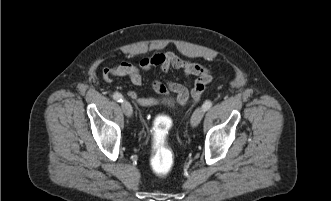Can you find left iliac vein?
Masks as SVG:
<instances>
[{"instance_id":"4c4485c4","label":"left iliac vein","mask_w":331,"mask_h":201,"mask_svg":"<svg viewBox=\"0 0 331 201\" xmlns=\"http://www.w3.org/2000/svg\"><path fill=\"white\" fill-rule=\"evenodd\" d=\"M204 113L205 110L203 109V107H199L194 111L190 121L192 127H196L200 123L204 116Z\"/></svg>"}]
</instances>
